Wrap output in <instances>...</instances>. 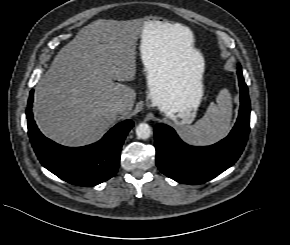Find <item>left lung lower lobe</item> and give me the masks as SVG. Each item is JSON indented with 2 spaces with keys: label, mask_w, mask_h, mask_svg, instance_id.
<instances>
[{
  "label": "left lung lower lobe",
  "mask_w": 290,
  "mask_h": 245,
  "mask_svg": "<svg viewBox=\"0 0 290 245\" xmlns=\"http://www.w3.org/2000/svg\"><path fill=\"white\" fill-rule=\"evenodd\" d=\"M237 73L239 116L230 134L220 142L194 147L185 144L170 126H155L156 163L163 174L180 183L202 184L228 169L240 157L250 130V100L240 65Z\"/></svg>",
  "instance_id": "1"
}]
</instances>
